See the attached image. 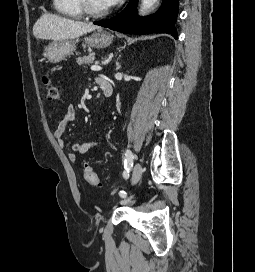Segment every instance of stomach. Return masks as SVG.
Here are the masks:
<instances>
[{"label":"stomach","mask_w":255,"mask_h":272,"mask_svg":"<svg viewBox=\"0 0 255 272\" xmlns=\"http://www.w3.org/2000/svg\"><path fill=\"white\" fill-rule=\"evenodd\" d=\"M112 40L113 36L109 32L99 29L91 36L85 38V43L90 47L105 48L112 43ZM75 49L76 41H54L45 48L44 56L49 62L58 63L71 55Z\"/></svg>","instance_id":"1"}]
</instances>
